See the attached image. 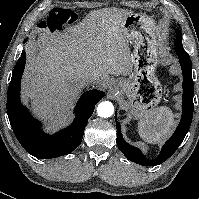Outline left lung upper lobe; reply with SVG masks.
Wrapping results in <instances>:
<instances>
[{"label": "left lung upper lobe", "mask_w": 199, "mask_h": 199, "mask_svg": "<svg viewBox=\"0 0 199 199\" xmlns=\"http://www.w3.org/2000/svg\"><path fill=\"white\" fill-rule=\"evenodd\" d=\"M176 34H177V37H176V52L178 54V52L181 50V51H184L183 54H186V56L188 57V59H190L188 53L184 50L183 46H182V34H181V31L180 30H177L176 31Z\"/></svg>", "instance_id": "left-lung-upper-lobe-1"}]
</instances>
